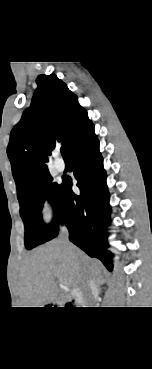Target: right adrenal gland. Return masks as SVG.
I'll return each instance as SVG.
<instances>
[{
	"instance_id": "1",
	"label": "right adrenal gland",
	"mask_w": 152,
	"mask_h": 369,
	"mask_svg": "<svg viewBox=\"0 0 152 369\" xmlns=\"http://www.w3.org/2000/svg\"><path fill=\"white\" fill-rule=\"evenodd\" d=\"M96 283H97V286L100 287V285H103L105 283V280H104V277H103V274H98L96 276Z\"/></svg>"
}]
</instances>
